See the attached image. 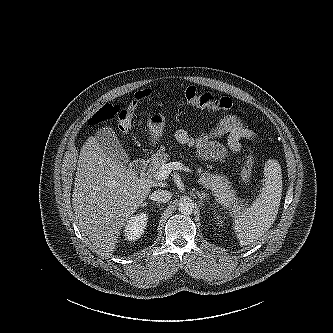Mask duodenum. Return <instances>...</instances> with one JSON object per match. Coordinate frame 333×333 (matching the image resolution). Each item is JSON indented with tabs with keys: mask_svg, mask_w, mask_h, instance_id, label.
<instances>
[{
	"mask_svg": "<svg viewBox=\"0 0 333 333\" xmlns=\"http://www.w3.org/2000/svg\"><path fill=\"white\" fill-rule=\"evenodd\" d=\"M148 167V161L145 159H138L132 162L131 169L134 172L142 173L145 172Z\"/></svg>",
	"mask_w": 333,
	"mask_h": 333,
	"instance_id": "1",
	"label": "duodenum"
}]
</instances>
